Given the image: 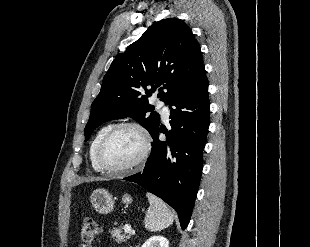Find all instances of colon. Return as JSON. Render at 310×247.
<instances>
[{
    "label": "colon",
    "instance_id": "1",
    "mask_svg": "<svg viewBox=\"0 0 310 247\" xmlns=\"http://www.w3.org/2000/svg\"><path fill=\"white\" fill-rule=\"evenodd\" d=\"M99 233V226L92 218H85L80 229L82 247H92Z\"/></svg>",
    "mask_w": 310,
    "mask_h": 247
}]
</instances>
